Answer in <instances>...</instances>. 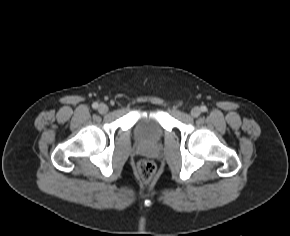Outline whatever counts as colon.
Returning a JSON list of instances; mask_svg holds the SVG:
<instances>
[{
	"label": "colon",
	"instance_id": "obj_1",
	"mask_svg": "<svg viewBox=\"0 0 290 236\" xmlns=\"http://www.w3.org/2000/svg\"><path fill=\"white\" fill-rule=\"evenodd\" d=\"M156 171V165L150 160H140L137 163L136 173L143 182H149Z\"/></svg>",
	"mask_w": 290,
	"mask_h": 236
}]
</instances>
